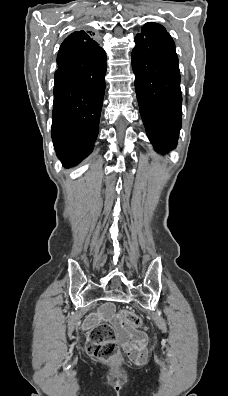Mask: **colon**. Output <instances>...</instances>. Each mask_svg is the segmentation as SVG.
Masks as SVG:
<instances>
[{"instance_id": "obj_1", "label": "colon", "mask_w": 228, "mask_h": 396, "mask_svg": "<svg viewBox=\"0 0 228 396\" xmlns=\"http://www.w3.org/2000/svg\"><path fill=\"white\" fill-rule=\"evenodd\" d=\"M123 323L132 329L142 326L140 317L130 310H122ZM87 353L100 361H110L119 355V347L113 327L108 323L95 326L88 335Z\"/></svg>"}]
</instances>
